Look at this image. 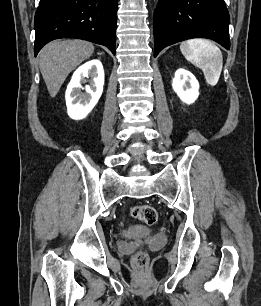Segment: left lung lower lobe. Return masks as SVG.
I'll list each match as a JSON object with an SVG mask.
<instances>
[{
  "instance_id": "1",
  "label": "left lung lower lobe",
  "mask_w": 261,
  "mask_h": 306,
  "mask_svg": "<svg viewBox=\"0 0 261 306\" xmlns=\"http://www.w3.org/2000/svg\"><path fill=\"white\" fill-rule=\"evenodd\" d=\"M230 17L224 0H158L154 13V56L174 43L204 37L230 49Z\"/></svg>"
}]
</instances>
